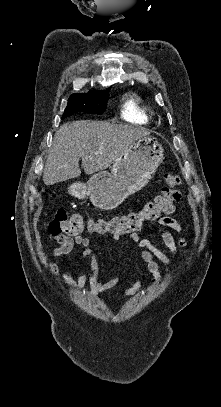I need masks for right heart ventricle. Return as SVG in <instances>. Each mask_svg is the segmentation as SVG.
<instances>
[{"label": "right heart ventricle", "mask_w": 221, "mask_h": 407, "mask_svg": "<svg viewBox=\"0 0 221 407\" xmlns=\"http://www.w3.org/2000/svg\"><path fill=\"white\" fill-rule=\"evenodd\" d=\"M152 113V107L139 93L129 94L121 105V116L129 122L148 123Z\"/></svg>", "instance_id": "1"}]
</instances>
